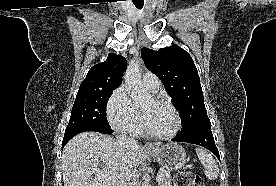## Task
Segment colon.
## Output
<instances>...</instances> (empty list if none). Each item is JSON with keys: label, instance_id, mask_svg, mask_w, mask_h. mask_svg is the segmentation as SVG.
I'll return each instance as SVG.
<instances>
[{"label": "colon", "instance_id": "5ec220e1", "mask_svg": "<svg viewBox=\"0 0 276 186\" xmlns=\"http://www.w3.org/2000/svg\"><path fill=\"white\" fill-rule=\"evenodd\" d=\"M174 186H205V184L199 175L181 171L174 177Z\"/></svg>", "mask_w": 276, "mask_h": 186}]
</instances>
